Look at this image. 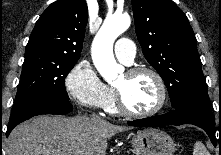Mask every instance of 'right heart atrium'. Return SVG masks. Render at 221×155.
Masks as SVG:
<instances>
[{
	"mask_svg": "<svg viewBox=\"0 0 221 155\" xmlns=\"http://www.w3.org/2000/svg\"><path fill=\"white\" fill-rule=\"evenodd\" d=\"M65 87L74 101L92 109L104 108L110 95L109 87L86 60L78 62L69 71Z\"/></svg>",
	"mask_w": 221,
	"mask_h": 155,
	"instance_id": "1",
	"label": "right heart atrium"
}]
</instances>
